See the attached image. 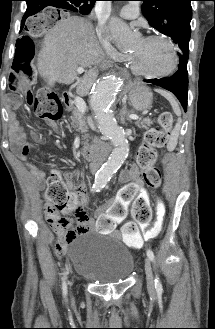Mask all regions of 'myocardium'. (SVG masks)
I'll return each mask as SVG.
<instances>
[{"label":"myocardium","instance_id":"1","mask_svg":"<svg viewBox=\"0 0 215 329\" xmlns=\"http://www.w3.org/2000/svg\"><path fill=\"white\" fill-rule=\"evenodd\" d=\"M144 40L150 41V40H163L165 42H167L169 44V46L172 49L173 52V56H174V62H173V66L165 72H161V73H150V72H146L144 71L138 64L136 58L133 55H129V64L131 66V69L144 77L147 78H151V79H160V78H165L168 77L170 75H172L173 73H175V71L178 68L179 65V52H178V48L175 44V42L168 36L163 35V34H151V35H147L143 38Z\"/></svg>","mask_w":215,"mask_h":329}]
</instances>
